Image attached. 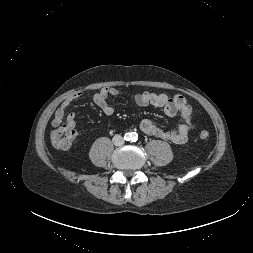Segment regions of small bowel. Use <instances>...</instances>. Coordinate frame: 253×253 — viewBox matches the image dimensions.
<instances>
[{"label": "small bowel", "instance_id": "obj_1", "mask_svg": "<svg viewBox=\"0 0 253 253\" xmlns=\"http://www.w3.org/2000/svg\"><path fill=\"white\" fill-rule=\"evenodd\" d=\"M119 94L120 91L116 88H102L94 94L93 101L106 115H111L114 113V107L109 102V98L118 96ZM81 96V92H75L62 101L51 120L53 127H58L63 122H66L75 129L76 114L70 112L66 115V110L73 101ZM133 101L138 106H154L161 108L168 116L179 114L182 119V123L169 130L161 128L151 119H144L140 123V129L147 135L174 144H184L188 141L190 132L196 128L193 109L187 100L180 94L168 96L165 93L144 91L136 94Z\"/></svg>", "mask_w": 253, "mask_h": 253}]
</instances>
